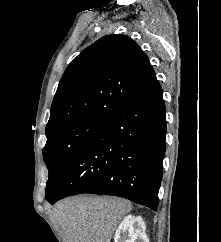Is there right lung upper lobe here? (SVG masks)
Masks as SVG:
<instances>
[{
    "label": "right lung upper lobe",
    "instance_id": "right-lung-upper-lobe-1",
    "mask_svg": "<svg viewBox=\"0 0 221 242\" xmlns=\"http://www.w3.org/2000/svg\"><path fill=\"white\" fill-rule=\"evenodd\" d=\"M157 81L148 57L130 37L108 35L67 67L56 91L46 131L72 121L105 119Z\"/></svg>",
    "mask_w": 221,
    "mask_h": 242
}]
</instances>
